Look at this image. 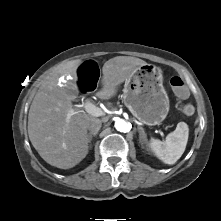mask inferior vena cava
I'll list each match as a JSON object with an SVG mask.
<instances>
[{"label": "inferior vena cava", "mask_w": 221, "mask_h": 221, "mask_svg": "<svg viewBox=\"0 0 221 221\" xmlns=\"http://www.w3.org/2000/svg\"><path fill=\"white\" fill-rule=\"evenodd\" d=\"M102 122L100 119H92L87 123V130L90 133H97L101 128Z\"/></svg>", "instance_id": "602c4592"}]
</instances>
